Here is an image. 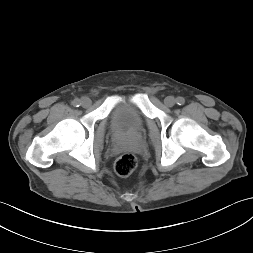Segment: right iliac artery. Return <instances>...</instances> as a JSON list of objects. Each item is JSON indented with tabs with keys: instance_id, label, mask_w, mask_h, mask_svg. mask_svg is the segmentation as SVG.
I'll return each mask as SVG.
<instances>
[{
	"instance_id": "1",
	"label": "right iliac artery",
	"mask_w": 253,
	"mask_h": 253,
	"mask_svg": "<svg viewBox=\"0 0 253 253\" xmlns=\"http://www.w3.org/2000/svg\"><path fill=\"white\" fill-rule=\"evenodd\" d=\"M72 104L75 107H79L81 105V101L79 99H75V100H73Z\"/></svg>"
}]
</instances>
